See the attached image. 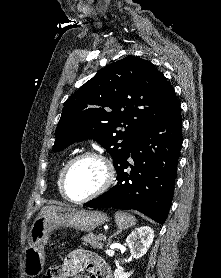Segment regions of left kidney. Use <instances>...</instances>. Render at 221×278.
<instances>
[{
  "instance_id": "1",
  "label": "left kidney",
  "mask_w": 221,
  "mask_h": 278,
  "mask_svg": "<svg viewBox=\"0 0 221 278\" xmlns=\"http://www.w3.org/2000/svg\"><path fill=\"white\" fill-rule=\"evenodd\" d=\"M154 238V231L148 227L143 226L136 228L126 239V245L130 249L131 256L139 259L146 254L151 246ZM133 271L124 272L121 269H116L114 278H129Z\"/></svg>"
}]
</instances>
